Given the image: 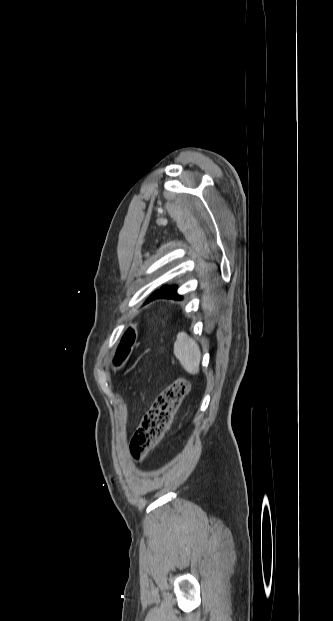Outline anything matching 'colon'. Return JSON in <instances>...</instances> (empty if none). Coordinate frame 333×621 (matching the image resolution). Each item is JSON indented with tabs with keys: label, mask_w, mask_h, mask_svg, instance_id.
I'll return each instance as SVG.
<instances>
[{
	"label": "colon",
	"mask_w": 333,
	"mask_h": 621,
	"mask_svg": "<svg viewBox=\"0 0 333 621\" xmlns=\"http://www.w3.org/2000/svg\"><path fill=\"white\" fill-rule=\"evenodd\" d=\"M189 388V381L179 377L160 393L131 439L130 453L135 460H144L159 444Z\"/></svg>",
	"instance_id": "obj_1"
}]
</instances>
